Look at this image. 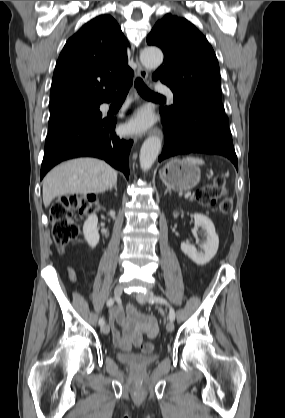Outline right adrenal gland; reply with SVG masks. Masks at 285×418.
Segmentation results:
<instances>
[{"instance_id":"1","label":"right adrenal gland","mask_w":285,"mask_h":418,"mask_svg":"<svg viewBox=\"0 0 285 418\" xmlns=\"http://www.w3.org/2000/svg\"><path fill=\"white\" fill-rule=\"evenodd\" d=\"M112 190V189H110ZM114 190L117 192V185H114Z\"/></svg>"}]
</instances>
